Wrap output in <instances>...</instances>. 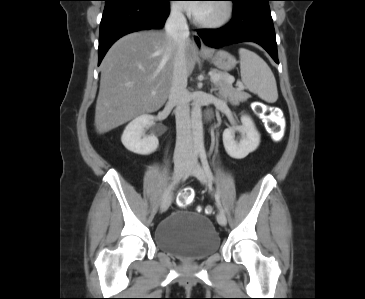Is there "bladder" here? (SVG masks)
<instances>
[{
    "instance_id": "bladder-1",
    "label": "bladder",
    "mask_w": 365,
    "mask_h": 299,
    "mask_svg": "<svg viewBox=\"0 0 365 299\" xmlns=\"http://www.w3.org/2000/svg\"><path fill=\"white\" fill-rule=\"evenodd\" d=\"M153 240L162 251L187 260L205 258L220 247V237L212 221L185 209H176L160 221Z\"/></svg>"
}]
</instances>
